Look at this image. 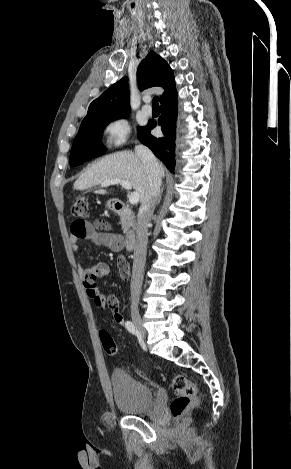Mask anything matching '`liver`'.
Segmentation results:
<instances>
[{"instance_id":"obj_1","label":"liver","mask_w":291,"mask_h":469,"mask_svg":"<svg viewBox=\"0 0 291 469\" xmlns=\"http://www.w3.org/2000/svg\"><path fill=\"white\" fill-rule=\"evenodd\" d=\"M161 177L165 168L158 162ZM111 179L128 180L133 189L139 193L140 202L143 201L149 187L148 171L141 159L132 151H121L103 157L93 163L75 181V190H85L102 184ZM95 193L105 194L106 190H96Z\"/></svg>"}]
</instances>
